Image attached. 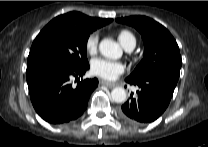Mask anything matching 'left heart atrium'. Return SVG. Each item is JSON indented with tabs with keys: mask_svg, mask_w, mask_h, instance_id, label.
Returning <instances> with one entry per match:
<instances>
[{
	"mask_svg": "<svg viewBox=\"0 0 208 147\" xmlns=\"http://www.w3.org/2000/svg\"><path fill=\"white\" fill-rule=\"evenodd\" d=\"M125 70L123 63L105 58H96L91 62V72L106 80H115Z\"/></svg>",
	"mask_w": 208,
	"mask_h": 147,
	"instance_id": "39dd6f15",
	"label": "left heart atrium"
}]
</instances>
